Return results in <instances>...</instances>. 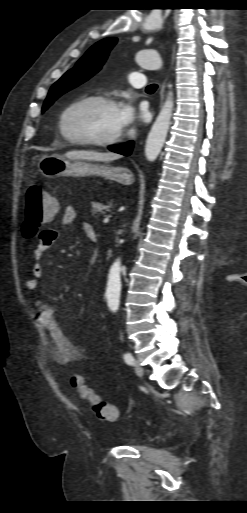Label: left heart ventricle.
Here are the masks:
<instances>
[{"label":"left heart ventricle","mask_w":247,"mask_h":513,"mask_svg":"<svg viewBox=\"0 0 247 513\" xmlns=\"http://www.w3.org/2000/svg\"><path fill=\"white\" fill-rule=\"evenodd\" d=\"M65 129L77 137L102 139L122 130L117 116V106L87 102L75 106L67 115Z\"/></svg>","instance_id":"1"}]
</instances>
